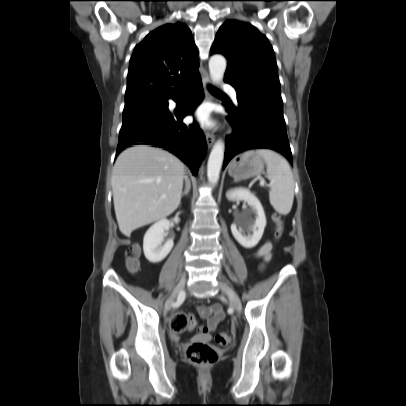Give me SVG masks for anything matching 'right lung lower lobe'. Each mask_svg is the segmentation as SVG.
<instances>
[{"instance_id":"1","label":"right lung lower lobe","mask_w":406,"mask_h":406,"mask_svg":"<svg viewBox=\"0 0 406 406\" xmlns=\"http://www.w3.org/2000/svg\"><path fill=\"white\" fill-rule=\"evenodd\" d=\"M187 88L190 95L180 111H169L155 124L120 133L116 153L119 154L125 148L137 144L163 148L190 166L196 175L199 163L206 152V139L196 123L185 125L182 123V119L186 115L192 114L203 99L200 76L195 78ZM179 93L170 98L176 99Z\"/></svg>"}]
</instances>
